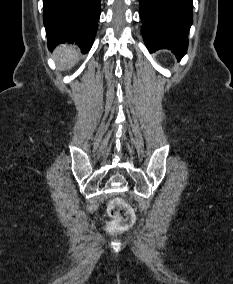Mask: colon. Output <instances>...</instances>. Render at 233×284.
I'll return each mask as SVG.
<instances>
[{"label": "colon", "instance_id": "colon-1", "mask_svg": "<svg viewBox=\"0 0 233 284\" xmlns=\"http://www.w3.org/2000/svg\"><path fill=\"white\" fill-rule=\"evenodd\" d=\"M109 215L114 219L117 227L125 228L134 221V213L129 205L122 199H114L108 206Z\"/></svg>", "mask_w": 233, "mask_h": 284}]
</instances>
